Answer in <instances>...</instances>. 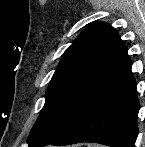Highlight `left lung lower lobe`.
<instances>
[{
	"label": "left lung lower lobe",
	"instance_id": "1",
	"mask_svg": "<svg viewBox=\"0 0 145 147\" xmlns=\"http://www.w3.org/2000/svg\"><path fill=\"white\" fill-rule=\"evenodd\" d=\"M139 109L127 48L118 38L70 125L44 146L96 142L112 147H134Z\"/></svg>",
	"mask_w": 145,
	"mask_h": 147
}]
</instances>
